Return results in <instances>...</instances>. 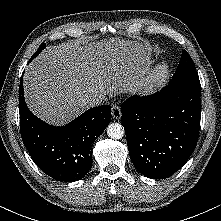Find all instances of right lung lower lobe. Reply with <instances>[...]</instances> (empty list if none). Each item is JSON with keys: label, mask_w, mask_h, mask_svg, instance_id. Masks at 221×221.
I'll return each instance as SVG.
<instances>
[{"label": "right lung lower lobe", "mask_w": 221, "mask_h": 221, "mask_svg": "<svg viewBox=\"0 0 221 221\" xmlns=\"http://www.w3.org/2000/svg\"><path fill=\"white\" fill-rule=\"evenodd\" d=\"M19 112L21 137L34 163L48 176L64 182L80 180L91 169V145L111 121V107L102 105L65 126H50L28 109L22 78Z\"/></svg>", "instance_id": "right-lung-lower-lobe-1"}]
</instances>
